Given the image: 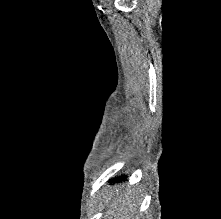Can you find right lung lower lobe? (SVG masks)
<instances>
[{"mask_svg":"<svg viewBox=\"0 0 221 219\" xmlns=\"http://www.w3.org/2000/svg\"><path fill=\"white\" fill-rule=\"evenodd\" d=\"M123 179H124V178H123ZM116 180H120V178H118V179H115V181H116Z\"/></svg>","mask_w":221,"mask_h":219,"instance_id":"obj_1","label":"right lung lower lobe"}]
</instances>
